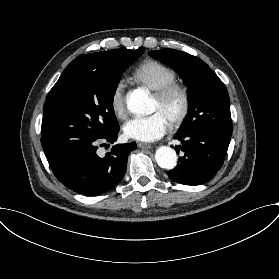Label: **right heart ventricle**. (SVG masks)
Listing matches in <instances>:
<instances>
[{
  "label": "right heart ventricle",
  "mask_w": 279,
  "mask_h": 279,
  "mask_svg": "<svg viewBox=\"0 0 279 279\" xmlns=\"http://www.w3.org/2000/svg\"><path fill=\"white\" fill-rule=\"evenodd\" d=\"M134 76L153 91H158L177 80L176 72L172 68L152 59L142 62L135 69Z\"/></svg>",
  "instance_id": "1"
}]
</instances>
